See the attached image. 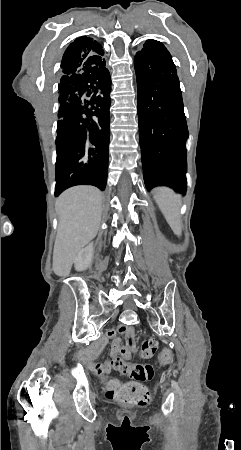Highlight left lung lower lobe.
Instances as JSON below:
<instances>
[{"label":"left lung lower lobe","mask_w":241,"mask_h":450,"mask_svg":"<svg viewBox=\"0 0 241 450\" xmlns=\"http://www.w3.org/2000/svg\"><path fill=\"white\" fill-rule=\"evenodd\" d=\"M134 65L145 186L185 195L188 129L176 67L163 45L138 51Z\"/></svg>","instance_id":"1"}]
</instances>
